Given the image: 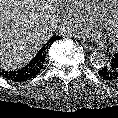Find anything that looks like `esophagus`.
<instances>
[{"label":"esophagus","mask_w":118,"mask_h":118,"mask_svg":"<svg viewBox=\"0 0 118 118\" xmlns=\"http://www.w3.org/2000/svg\"><path fill=\"white\" fill-rule=\"evenodd\" d=\"M83 47L87 50V51H92L94 50V47L89 45V44H86V43H82Z\"/></svg>","instance_id":"1"}]
</instances>
